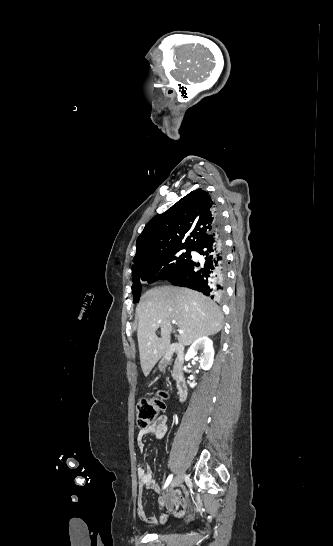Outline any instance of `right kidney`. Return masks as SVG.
<instances>
[{
	"label": "right kidney",
	"instance_id": "obj_1",
	"mask_svg": "<svg viewBox=\"0 0 333 546\" xmlns=\"http://www.w3.org/2000/svg\"><path fill=\"white\" fill-rule=\"evenodd\" d=\"M203 348L204 349V356H201L199 358L200 366L203 370H209L212 367L213 360H214V349H213V342L208 337H201L197 339L189 348L185 360L188 361L190 359H198V350ZM184 371H188L187 367H184ZM190 387H194L196 384L195 382H189Z\"/></svg>",
	"mask_w": 333,
	"mask_h": 546
}]
</instances>
